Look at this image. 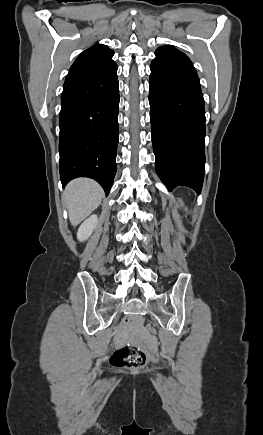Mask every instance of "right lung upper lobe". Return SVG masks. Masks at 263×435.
<instances>
[{
	"mask_svg": "<svg viewBox=\"0 0 263 435\" xmlns=\"http://www.w3.org/2000/svg\"><path fill=\"white\" fill-rule=\"evenodd\" d=\"M114 51L106 45L96 44L82 52L71 66L66 79L105 69L115 62Z\"/></svg>",
	"mask_w": 263,
	"mask_h": 435,
	"instance_id": "1",
	"label": "right lung upper lobe"
}]
</instances>
